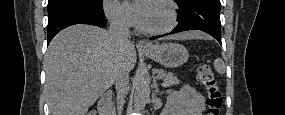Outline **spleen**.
Here are the masks:
<instances>
[{
  "mask_svg": "<svg viewBox=\"0 0 285 115\" xmlns=\"http://www.w3.org/2000/svg\"><path fill=\"white\" fill-rule=\"evenodd\" d=\"M214 68L219 74H224L226 70L225 64L220 58L215 59Z\"/></svg>",
  "mask_w": 285,
  "mask_h": 115,
  "instance_id": "1",
  "label": "spleen"
}]
</instances>
